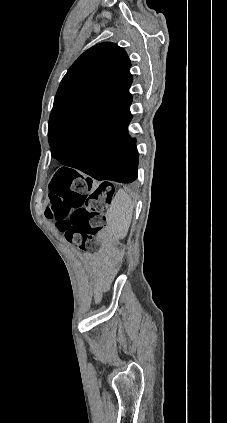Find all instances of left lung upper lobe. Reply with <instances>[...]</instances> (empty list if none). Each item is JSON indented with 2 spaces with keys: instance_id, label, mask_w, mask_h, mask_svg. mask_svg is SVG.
Listing matches in <instances>:
<instances>
[{
  "instance_id": "5c2ea615",
  "label": "left lung upper lobe",
  "mask_w": 227,
  "mask_h": 423,
  "mask_svg": "<svg viewBox=\"0 0 227 423\" xmlns=\"http://www.w3.org/2000/svg\"><path fill=\"white\" fill-rule=\"evenodd\" d=\"M130 67L125 50L114 43H100L84 52L58 88L49 119V143L74 135L110 113L129 112Z\"/></svg>"
}]
</instances>
